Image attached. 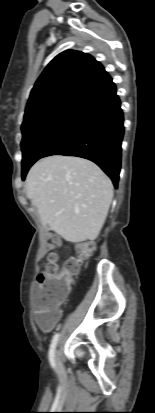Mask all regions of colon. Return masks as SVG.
Wrapping results in <instances>:
<instances>
[{
	"mask_svg": "<svg viewBox=\"0 0 155 413\" xmlns=\"http://www.w3.org/2000/svg\"><path fill=\"white\" fill-rule=\"evenodd\" d=\"M58 244L57 238L52 240ZM94 250L93 242H83L77 245L76 256L68 257L62 267L58 265V255L51 253L46 263L41 284L44 285L43 292L36 301V308L41 311H54L70 290L73 278L78 274L80 268L85 265L86 260Z\"/></svg>",
	"mask_w": 155,
	"mask_h": 413,
	"instance_id": "colon-1",
	"label": "colon"
}]
</instances>
